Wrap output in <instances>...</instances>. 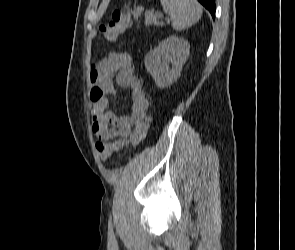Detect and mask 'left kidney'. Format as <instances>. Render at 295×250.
<instances>
[{"instance_id": "left-kidney-1", "label": "left kidney", "mask_w": 295, "mask_h": 250, "mask_svg": "<svg viewBox=\"0 0 295 250\" xmlns=\"http://www.w3.org/2000/svg\"><path fill=\"white\" fill-rule=\"evenodd\" d=\"M189 52L190 44L187 40L171 36L146 55L145 67L158 87H169L178 79Z\"/></svg>"}]
</instances>
